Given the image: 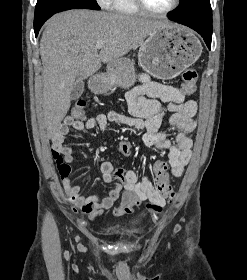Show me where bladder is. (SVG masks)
<instances>
[{"instance_id":"obj_1","label":"bladder","mask_w":247,"mask_h":280,"mask_svg":"<svg viewBox=\"0 0 247 280\" xmlns=\"http://www.w3.org/2000/svg\"><path fill=\"white\" fill-rule=\"evenodd\" d=\"M105 231L110 234H117L122 231V225L119 223H110L106 225Z\"/></svg>"}]
</instances>
